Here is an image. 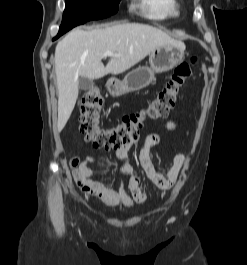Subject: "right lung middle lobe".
I'll list each match as a JSON object with an SVG mask.
<instances>
[{
	"instance_id": "right-lung-middle-lobe-1",
	"label": "right lung middle lobe",
	"mask_w": 247,
	"mask_h": 265,
	"mask_svg": "<svg viewBox=\"0 0 247 265\" xmlns=\"http://www.w3.org/2000/svg\"><path fill=\"white\" fill-rule=\"evenodd\" d=\"M120 0H66L62 22L95 20L118 11Z\"/></svg>"
}]
</instances>
